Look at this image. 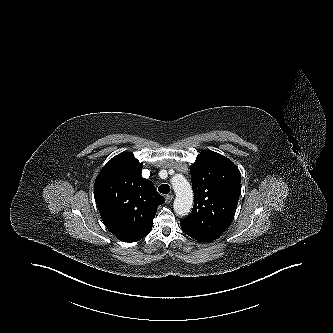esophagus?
<instances>
[{"mask_svg":"<svg viewBox=\"0 0 333 333\" xmlns=\"http://www.w3.org/2000/svg\"><path fill=\"white\" fill-rule=\"evenodd\" d=\"M174 196L172 194L166 195L165 199H166V203L169 204L172 202Z\"/></svg>","mask_w":333,"mask_h":333,"instance_id":"1","label":"esophagus"}]
</instances>
